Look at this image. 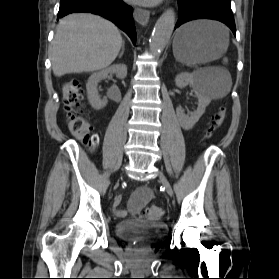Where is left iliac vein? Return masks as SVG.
I'll list each match as a JSON object with an SVG mask.
<instances>
[{
  "mask_svg": "<svg viewBox=\"0 0 279 279\" xmlns=\"http://www.w3.org/2000/svg\"><path fill=\"white\" fill-rule=\"evenodd\" d=\"M158 177L163 185V187L165 188L167 194L169 196H173V189L168 181V179L166 178V176L163 174V172L159 171L158 172Z\"/></svg>",
  "mask_w": 279,
  "mask_h": 279,
  "instance_id": "left-iliac-vein-1",
  "label": "left iliac vein"
}]
</instances>
